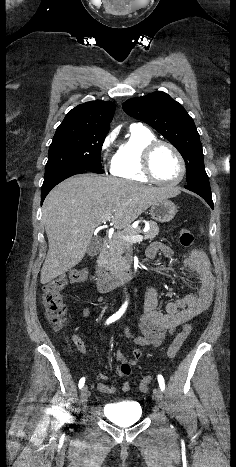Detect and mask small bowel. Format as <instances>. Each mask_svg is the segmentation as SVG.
<instances>
[{"label": "small bowel", "mask_w": 236, "mask_h": 467, "mask_svg": "<svg viewBox=\"0 0 236 467\" xmlns=\"http://www.w3.org/2000/svg\"><path fill=\"white\" fill-rule=\"evenodd\" d=\"M159 253L166 258L173 257L171 248L159 241H154L147 247L145 256L147 260L152 261ZM177 268L194 276L198 283L197 292L169 301L165 305L164 311H161L158 309V296L155 287L152 284L146 286L143 313L137 323L143 336L135 337L129 328L125 330L127 337L132 338L140 347L131 350L129 358L121 351H116L115 359L119 363L118 375L130 377L133 368L139 364L144 356L143 348L145 346H160L166 335L174 334L179 326L210 307L214 291V277L206 255L200 250H193L177 262ZM82 316L86 320L89 318L90 308L88 306L83 309ZM78 349L81 352L86 351L82 342ZM97 378L100 381L97 385L98 391L109 394L116 392V387L104 383L108 379L105 373H99ZM130 389L129 381H124L121 384L122 391L127 392Z\"/></svg>", "instance_id": "c3829d8e"}]
</instances>
